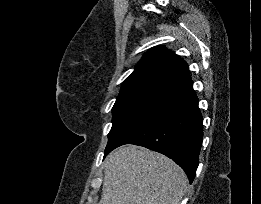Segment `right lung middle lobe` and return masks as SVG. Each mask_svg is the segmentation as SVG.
I'll return each mask as SVG.
<instances>
[{
    "instance_id": "1",
    "label": "right lung middle lobe",
    "mask_w": 261,
    "mask_h": 204,
    "mask_svg": "<svg viewBox=\"0 0 261 204\" xmlns=\"http://www.w3.org/2000/svg\"><path fill=\"white\" fill-rule=\"evenodd\" d=\"M167 95L159 92H134L119 95L112 108L113 125L108 134L105 152L157 107Z\"/></svg>"
}]
</instances>
